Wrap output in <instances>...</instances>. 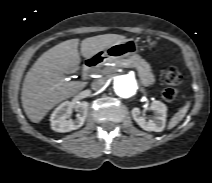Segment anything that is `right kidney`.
Listing matches in <instances>:
<instances>
[{
  "mask_svg": "<svg viewBox=\"0 0 212 183\" xmlns=\"http://www.w3.org/2000/svg\"><path fill=\"white\" fill-rule=\"evenodd\" d=\"M88 106V102L85 101L78 103L76 106L78 114L76 115V119L72 120L67 119L72 110V103L69 101L63 102L51 114V128L56 132H69L79 129L83 126L87 117Z\"/></svg>",
  "mask_w": 212,
  "mask_h": 183,
  "instance_id": "right-kidney-1",
  "label": "right kidney"
}]
</instances>
